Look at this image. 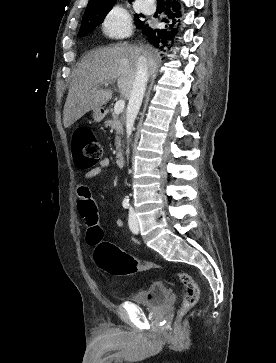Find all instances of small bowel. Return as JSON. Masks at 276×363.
I'll use <instances>...</instances> for the list:
<instances>
[{"instance_id":"c3829d8e","label":"small bowel","mask_w":276,"mask_h":363,"mask_svg":"<svg viewBox=\"0 0 276 363\" xmlns=\"http://www.w3.org/2000/svg\"><path fill=\"white\" fill-rule=\"evenodd\" d=\"M109 166V160L107 158L101 160L97 163L93 169L89 170L85 177L87 179L93 178L97 176L100 172L106 169ZM77 197L79 199L78 203V211L81 217L86 221L87 225H91L93 217H97V206L93 200L92 193L90 188L81 184L77 188ZM115 224L119 227L123 225V220L121 218L115 219ZM132 241L135 244H140L139 240L136 238H132Z\"/></svg>"}]
</instances>
